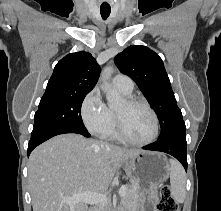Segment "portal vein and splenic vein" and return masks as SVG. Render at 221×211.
Returning <instances> with one entry per match:
<instances>
[{"label": "portal vein and splenic vein", "instance_id": "1", "mask_svg": "<svg viewBox=\"0 0 221 211\" xmlns=\"http://www.w3.org/2000/svg\"><path fill=\"white\" fill-rule=\"evenodd\" d=\"M126 192H127V186L122 185L121 188L119 189V196L123 197L126 194ZM63 202L69 205H75L78 203H87V204H98L100 206H104L105 204L108 203V198L104 194L84 192L69 198H63Z\"/></svg>", "mask_w": 221, "mask_h": 211}]
</instances>
